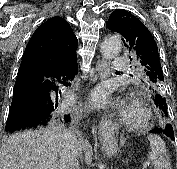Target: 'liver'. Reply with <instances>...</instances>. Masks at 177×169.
I'll return each mask as SVG.
<instances>
[{"label": "liver", "instance_id": "liver-1", "mask_svg": "<svg viewBox=\"0 0 177 169\" xmlns=\"http://www.w3.org/2000/svg\"><path fill=\"white\" fill-rule=\"evenodd\" d=\"M63 133L49 127L10 136L0 149V169H60L58 148ZM78 147L81 155L89 145L79 142Z\"/></svg>", "mask_w": 177, "mask_h": 169}]
</instances>
